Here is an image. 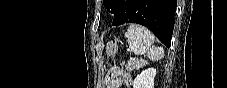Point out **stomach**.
I'll use <instances>...</instances> for the list:
<instances>
[{"mask_svg":"<svg viewBox=\"0 0 227 88\" xmlns=\"http://www.w3.org/2000/svg\"><path fill=\"white\" fill-rule=\"evenodd\" d=\"M116 52H117V45L113 42H110L106 48V53L108 57L113 56Z\"/></svg>","mask_w":227,"mask_h":88,"instance_id":"obj_1","label":"stomach"}]
</instances>
